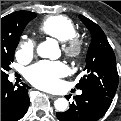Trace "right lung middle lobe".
<instances>
[{"label": "right lung middle lobe", "mask_w": 121, "mask_h": 121, "mask_svg": "<svg viewBox=\"0 0 121 121\" xmlns=\"http://www.w3.org/2000/svg\"><path fill=\"white\" fill-rule=\"evenodd\" d=\"M35 17L36 14L31 13L19 22L1 30V79L8 78L7 71L11 69L10 64L14 60L15 49L19 43L20 36L28 22Z\"/></svg>", "instance_id": "1"}]
</instances>
